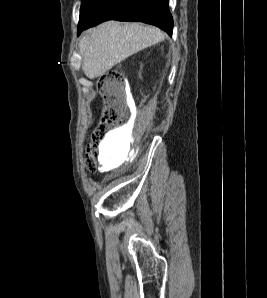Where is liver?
<instances>
[{"instance_id":"liver-1","label":"liver","mask_w":267,"mask_h":298,"mask_svg":"<svg viewBox=\"0 0 267 298\" xmlns=\"http://www.w3.org/2000/svg\"><path fill=\"white\" fill-rule=\"evenodd\" d=\"M164 33L153 26L107 21L82 36L79 51L82 69L89 79L103 76L113 66L142 49L164 39Z\"/></svg>"}]
</instances>
